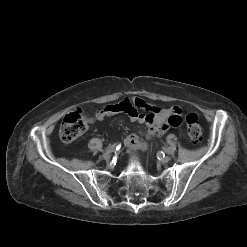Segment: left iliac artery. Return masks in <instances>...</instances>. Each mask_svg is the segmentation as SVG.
Listing matches in <instances>:
<instances>
[{
	"instance_id": "obj_1",
	"label": "left iliac artery",
	"mask_w": 247,
	"mask_h": 247,
	"mask_svg": "<svg viewBox=\"0 0 247 247\" xmlns=\"http://www.w3.org/2000/svg\"><path fill=\"white\" fill-rule=\"evenodd\" d=\"M165 152L169 153V154H172L174 151L172 148H165Z\"/></svg>"
}]
</instances>
